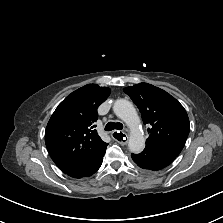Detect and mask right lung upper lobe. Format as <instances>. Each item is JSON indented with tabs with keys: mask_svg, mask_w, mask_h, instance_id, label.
I'll list each match as a JSON object with an SVG mask.
<instances>
[{
	"mask_svg": "<svg viewBox=\"0 0 223 223\" xmlns=\"http://www.w3.org/2000/svg\"><path fill=\"white\" fill-rule=\"evenodd\" d=\"M110 89L85 85L68 95L52 114L45 131V143L54 163L66 174L95 159L107 147L93 130L97 108Z\"/></svg>",
	"mask_w": 223,
	"mask_h": 223,
	"instance_id": "right-lung-upper-lobe-1",
	"label": "right lung upper lobe"
}]
</instances>
